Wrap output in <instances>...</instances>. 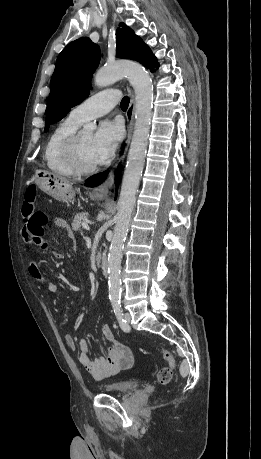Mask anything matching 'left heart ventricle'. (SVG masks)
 <instances>
[{
    "label": "left heart ventricle",
    "instance_id": "1",
    "mask_svg": "<svg viewBox=\"0 0 261 459\" xmlns=\"http://www.w3.org/2000/svg\"><path fill=\"white\" fill-rule=\"evenodd\" d=\"M80 151L83 163L86 166L96 165L93 156V133L81 132L80 133Z\"/></svg>",
    "mask_w": 261,
    "mask_h": 459
}]
</instances>
